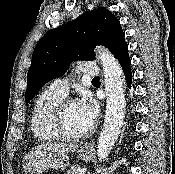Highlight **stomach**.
Wrapping results in <instances>:
<instances>
[{"instance_id": "stomach-1", "label": "stomach", "mask_w": 175, "mask_h": 174, "mask_svg": "<svg viewBox=\"0 0 175 174\" xmlns=\"http://www.w3.org/2000/svg\"><path fill=\"white\" fill-rule=\"evenodd\" d=\"M93 152L88 145L78 149L77 157L82 161H90ZM69 166V157L66 153L54 151H35L28 154L23 160V168L27 174H42L47 169H64Z\"/></svg>"}]
</instances>
